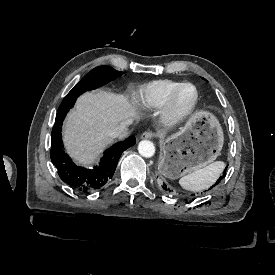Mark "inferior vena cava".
<instances>
[{"label": "inferior vena cava", "instance_id": "602c4592", "mask_svg": "<svg viewBox=\"0 0 275 275\" xmlns=\"http://www.w3.org/2000/svg\"><path fill=\"white\" fill-rule=\"evenodd\" d=\"M128 124H120L114 127L113 129H110L107 131V135L110 137H116L120 135L126 128Z\"/></svg>", "mask_w": 275, "mask_h": 275}]
</instances>
